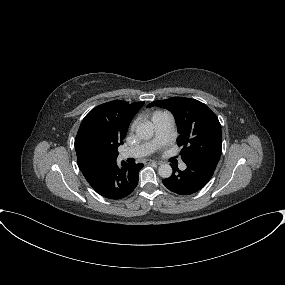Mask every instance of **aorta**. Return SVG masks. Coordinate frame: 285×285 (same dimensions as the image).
<instances>
[{
	"mask_svg": "<svg viewBox=\"0 0 285 285\" xmlns=\"http://www.w3.org/2000/svg\"><path fill=\"white\" fill-rule=\"evenodd\" d=\"M154 134V128L148 124H140L136 128V135L142 140H148L152 138ZM158 174L162 178H169L172 175V167L169 164H161L158 168Z\"/></svg>",
	"mask_w": 285,
	"mask_h": 285,
	"instance_id": "obj_1",
	"label": "aorta"
}]
</instances>
